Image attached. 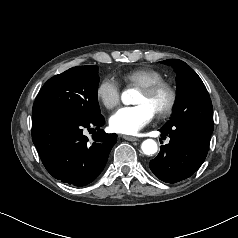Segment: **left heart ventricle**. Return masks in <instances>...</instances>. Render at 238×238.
Masks as SVG:
<instances>
[{"instance_id":"obj_1","label":"left heart ventricle","mask_w":238,"mask_h":238,"mask_svg":"<svg viewBox=\"0 0 238 238\" xmlns=\"http://www.w3.org/2000/svg\"><path fill=\"white\" fill-rule=\"evenodd\" d=\"M167 102V95L164 92H160L154 96H147L141 90L136 99V103H147L156 112L158 109L162 108Z\"/></svg>"}]
</instances>
